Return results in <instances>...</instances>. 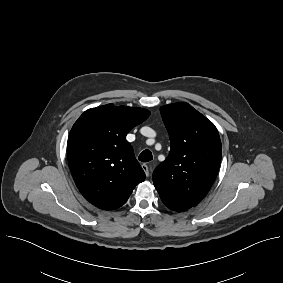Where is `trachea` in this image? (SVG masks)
<instances>
[{"instance_id": "1", "label": "trachea", "mask_w": 283, "mask_h": 283, "mask_svg": "<svg viewBox=\"0 0 283 283\" xmlns=\"http://www.w3.org/2000/svg\"><path fill=\"white\" fill-rule=\"evenodd\" d=\"M141 162H149L153 159L152 153L149 150H144L138 158Z\"/></svg>"}]
</instances>
